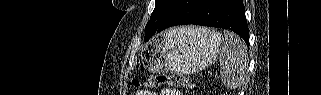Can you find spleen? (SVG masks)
Instances as JSON below:
<instances>
[{
  "label": "spleen",
  "instance_id": "1",
  "mask_svg": "<svg viewBox=\"0 0 321 95\" xmlns=\"http://www.w3.org/2000/svg\"><path fill=\"white\" fill-rule=\"evenodd\" d=\"M225 43L219 55L221 81L228 89H236L244 81L248 53L244 42L230 31H224Z\"/></svg>",
  "mask_w": 321,
  "mask_h": 95
}]
</instances>
